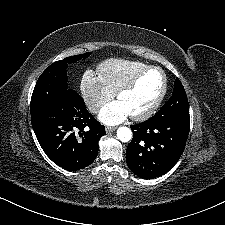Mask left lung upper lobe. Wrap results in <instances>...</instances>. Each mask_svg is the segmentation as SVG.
<instances>
[{"mask_svg": "<svg viewBox=\"0 0 225 225\" xmlns=\"http://www.w3.org/2000/svg\"><path fill=\"white\" fill-rule=\"evenodd\" d=\"M174 115H189L187 95L182 83L178 78H176L174 82L172 96L154 116L168 117Z\"/></svg>", "mask_w": 225, "mask_h": 225, "instance_id": "left-lung-upper-lobe-1", "label": "left lung upper lobe"}]
</instances>
